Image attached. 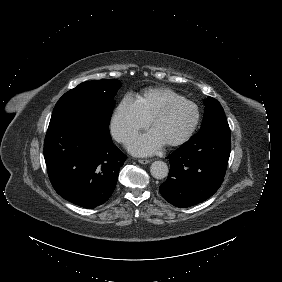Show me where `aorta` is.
Wrapping results in <instances>:
<instances>
[{
	"label": "aorta",
	"mask_w": 282,
	"mask_h": 282,
	"mask_svg": "<svg viewBox=\"0 0 282 282\" xmlns=\"http://www.w3.org/2000/svg\"><path fill=\"white\" fill-rule=\"evenodd\" d=\"M151 175L156 179H163L168 174V166L164 161L157 160L151 164Z\"/></svg>",
	"instance_id": "obj_1"
}]
</instances>
